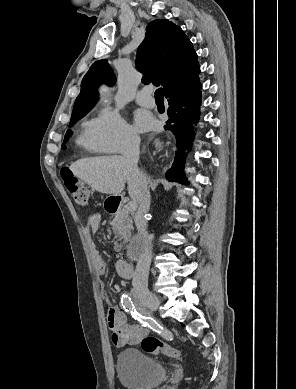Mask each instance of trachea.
I'll return each mask as SVG.
<instances>
[{"instance_id": "3493384b", "label": "trachea", "mask_w": 296, "mask_h": 389, "mask_svg": "<svg viewBox=\"0 0 296 389\" xmlns=\"http://www.w3.org/2000/svg\"><path fill=\"white\" fill-rule=\"evenodd\" d=\"M155 99L156 100H164V94H163V89L162 88H158L155 91Z\"/></svg>"}]
</instances>
